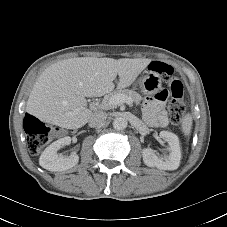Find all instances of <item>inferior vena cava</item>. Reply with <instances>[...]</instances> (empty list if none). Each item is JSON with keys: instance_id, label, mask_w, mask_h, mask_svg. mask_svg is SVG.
<instances>
[{"instance_id": "602c4592", "label": "inferior vena cava", "mask_w": 227, "mask_h": 227, "mask_svg": "<svg viewBox=\"0 0 227 227\" xmlns=\"http://www.w3.org/2000/svg\"><path fill=\"white\" fill-rule=\"evenodd\" d=\"M107 118V114L103 111H98L92 114L89 119V126L90 127H98L102 125Z\"/></svg>"}]
</instances>
